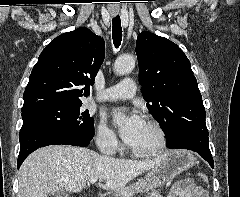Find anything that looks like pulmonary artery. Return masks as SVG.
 I'll return each instance as SVG.
<instances>
[{"label": "pulmonary artery", "instance_id": "pulmonary-artery-1", "mask_svg": "<svg viewBox=\"0 0 240 197\" xmlns=\"http://www.w3.org/2000/svg\"><path fill=\"white\" fill-rule=\"evenodd\" d=\"M136 84L131 78H125L119 84L107 88L96 97L100 101H114L118 99H128L135 95Z\"/></svg>", "mask_w": 240, "mask_h": 197}]
</instances>
